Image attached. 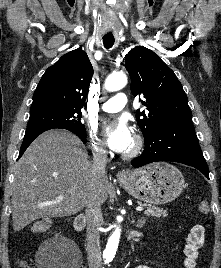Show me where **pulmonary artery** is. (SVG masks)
I'll return each mask as SVG.
<instances>
[{"instance_id": "obj_1", "label": "pulmonary artery", "mask_w": 221, "mask_h": 268, "mask_svg": "<svg viewBox=\"0 0 221 268\" xmlns=\"http://www.w3.org/2000/svg\"><path fill=\"white\" fill-rule=\"evenodd\" d=\"M127 104V96L124 93H117L108 101L103 103L101 109L108 113H115L122 110Z\"/></svg>"}]
</instances>
